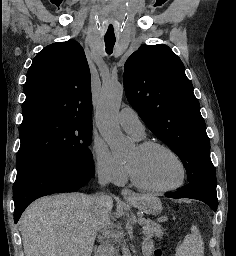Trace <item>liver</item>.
<instances>
[{
    "label": "liver",
    "instance_id": "1",
    "mask_svg": "<svg viewBox=\"0 0 236 256\" xmlns=\"http://www.w3.org/2000/svg\"><path fill=\"white\" fill-rule=\"evenodd\" d=\"M106 212L95 208L91 196L59 194L40 198L20 218L25 256H91L97 232L106 226Z\"/></svg>",
    "mask_w": 236,
    "mask_h": 256
}]
</instances>
